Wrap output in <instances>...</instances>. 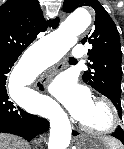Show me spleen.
<instances>
[{
	"instance_id": "1",
	"label": "spleen",
	"mask_w": 124,
	"mask_h": 149,
	"mask_svg": "<svg viewBox=\"0 0 124 149\" xmlns=\"http://www.w3.org/2000/svg\"><path fill=\"white\" fill-rule=\"evenodd\" d=\"M113 148L118 149V145L112 140Z\"/></svg>"
}]
</instances>
